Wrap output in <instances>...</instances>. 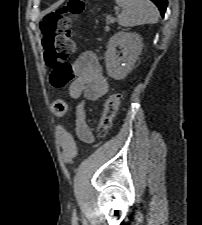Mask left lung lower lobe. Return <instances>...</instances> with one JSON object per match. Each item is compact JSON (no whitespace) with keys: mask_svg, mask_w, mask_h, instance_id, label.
Listing matches in <instances>:
<instances>
[{"mask_svg":"<svg viewBox=\"0 0 202 225\" xmlns=\"http://www.w3.org/2000/svg\"><path fill=\"white\" fill-rule=\"evenodd\" d=\"M151 1L156 4V6L159 8L161 15L163 17L167 7V0H151Z\"/></svg>","mask_w":202,"mask_h":225,"instance_id":"obj_1","label":"left lung lower lobe"}]
</instances>
